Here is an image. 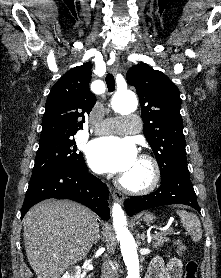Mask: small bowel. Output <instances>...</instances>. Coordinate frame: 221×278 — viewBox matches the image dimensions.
Here are the masks:
<instances>
[{
	"label": "small bowel",
	"instance_id": "c3829d8e",
	"mask_svg": "<svg viewBox=\"0 0 221 278\" xmlns=\"http://www.w3.org/2000/svg\"><path fill=\"white\" fill-rule=\"evenodd\" d=\"M182 262L173 257L165 262L162 258L156 257L151 262L145 278H181Z\"/></svg>",
	"mask_w": 221,
	"mask_h": 278
}]
</instances>
